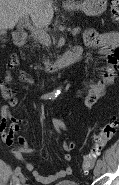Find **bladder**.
<instances>
[{"label":"bladder","mask_w":119,"mask_h":185,"mask_svg":"<svg viewBox=\"0 0 119 185\" xmlns=\"http://www.w3.org/2000/svg\"><path fill=\"white\" fill-rule=\"evenodd\" d=\"M55 185H79V183L73 180H63V181L57 182Z\"/></svg>","instance_id":"bladder-1"}]
</instances>
